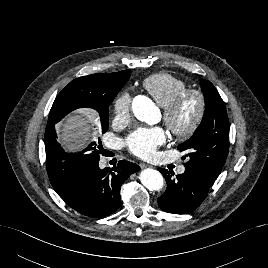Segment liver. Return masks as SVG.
<instances>
[{
    "label": "liver",
    "mask_w": 268,
    "mask_h": 268,
    "mask_svg": "<svg viewBox=\"0 0 268 268\" xmlns=\"http://www.w3.org/2000/svg\"><path fill=\"white\" fill-rule=\"evenodd\" d=\"M60 144L68 150H77L91 140L93 127L89 114L79 110L57 126Z\"/></svg>",
    "instance_id": "6515ba94"
}]
</instances>
